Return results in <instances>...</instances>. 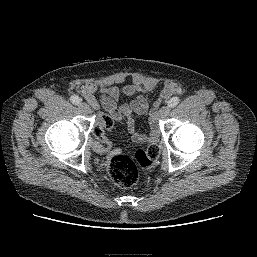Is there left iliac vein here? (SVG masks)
Listing matches in <instances>:
<instances>
[{"label": "left iliac vein", "mask_w": 257, "mask_h": 257, "mask_svg": "<svg viewBox=\"0 0 257 257\" xmlns=\"http://www.w3.org/2000/svg\"><path fill=\"white\" fill-rule=\"evenodd\" d=\"M169 112H170V107L169 106H164V107H162L161 108V110L159 111V117L160 118H166L167 116H168V114H169Z\"/></svg>", "instance_id": "left-iliac-vein-1"}]
</instances>
